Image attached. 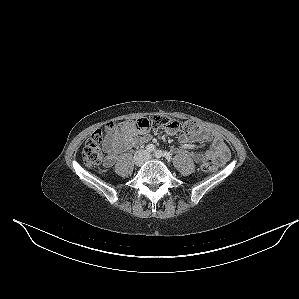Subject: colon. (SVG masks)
<instances>
[{
    "label": "colon",
    "mask_w": 299,
    "mask_h": 299,
    "mask_svg": "<svg viewBox=\"0 0 299 299\" xmlns=\"http://www.w3.org/2000/svg\"><path fill=\"white\" fill-rule=\"evenodd\" d=\"M121 125L122 123L110 122L93 132L82 150V160L85 166L96 167L102 163V146L118 133ZM127 125L140 131L154 127L176 132L180 128V123L177 120L164 115H152L147 118L127 121ZM183 131L189 136H194L200 131V126L194 121H186L183 124ZM216 167L213 163L207 162L201 166V169L204 172L211 173L216 170Z\"/></svg>",
    "instance_id": "1"
}]
</instances>
